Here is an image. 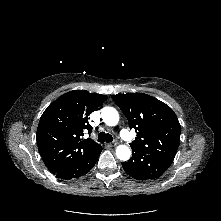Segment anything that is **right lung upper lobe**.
Returning a JSON list of instances; mask_svg holds the SVG:
<instances>
[{"mask_svg": "<svg viewBox=\"0 0 221 221\" xmlns=\"http://www.w3.org/2000/svg\"><path fill=\"white\" fill-rule=\"evenodd\" d=\"M107 96L73 90L56 99L44 111L37 128L40 155L52 172L85 156L101 145L92 139H82L91 132L88 116L105 102Z\"/></svg>", "mask_w": 221, "mask_h": 221, "instance_id": "right-lung-upper-lobe-1", "label": "right lung upper lobe"}]
</instances>
